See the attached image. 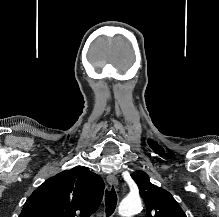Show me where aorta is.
<instances>
[{
  "label": "aorta",
  "mask_w": 219,
  "mask_h": 217,
  "mask_svg": "<svg viewBox=\"0 0 219 217\" xmlns=\"http://www.w3.org/2000/svg\"><path fill=\"white\" fill-rule=\"evenodd\" d=\"M142 209V202L139 196L126 197L119 206V214L122 217H132Z\"/></svg>",
  "instance_id": "1"
}]
</instances>
